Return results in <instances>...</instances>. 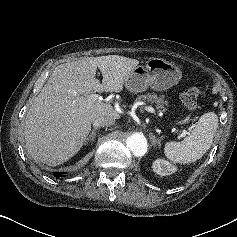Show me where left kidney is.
Here are the masks:
<instances>
[{
  "mask_svg": "<svg viewBox=\"0 0 237 237\" xmlns=\"http://www.w3.org/2000/svg\"><path fill=\"white\" fill-rule=\"evenodd\" d=\"M153 171L161 176H168L176 172L177 168L169 161L157 159L152 164Z\"/></svg>",
  "mask_w": 237,
  "mask_h": 237,
  "instance_id": "5707ae66",
  "label": "left kidney"
}]
</instances>
